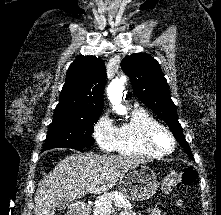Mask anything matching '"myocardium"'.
<instances>
[{"instance_id": "myocardium-1", "label": "myocardium", "mask_w": 221, "mask_h": 215, "mask_svg": "<svg viewBox=\"0 0 221 215\" xmlns=\"http://www.w3.org/2000/svg\"><path fill=\"white\" fill-rule=\"evenodd\" d=\"M165 135L168 140V146L164 147L159 143V137ZM145 144L153 152L159 155L171 153L176 145V140L172 132L163 125H158L150 128L145 135Z\"/></svg>"}]
</instances>
